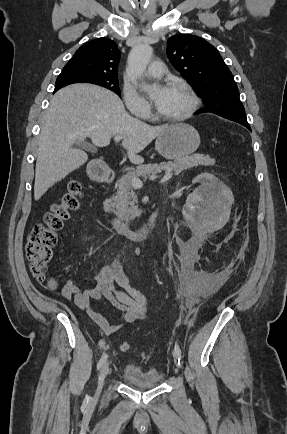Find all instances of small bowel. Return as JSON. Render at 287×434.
<instances>
[{
	"instance_id": "c3829d8e",
	"label": "small bowel",
	"mask_w": 287,
	"mask_h": 434,
	"mask_svg": "<svg viewBox=\"0 0 287 434\" xmlns=\"http://www.w3.org/2000/svg\"><path fill=\"white\" fill-rule=\"evenodd\" d=\"M123 259V256L119 255L105 265L96 276L93 287L82 289L78 283L69 280L62 290V297L86 312L107 336L117 332L125 324L143 319L146 313L147 299L131 286L122 268ZM115 284L123 290L116 289ZM92 301L101 302L107 309L119 311L118 320L110 322L106 316L94 309Z\"/></svg>"
}]
</instances>
